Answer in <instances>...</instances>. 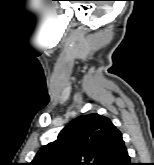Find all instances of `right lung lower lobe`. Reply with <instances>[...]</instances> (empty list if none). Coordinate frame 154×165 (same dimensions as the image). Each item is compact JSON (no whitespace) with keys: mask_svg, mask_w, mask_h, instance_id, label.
<instances>
[{"mask_svg":"<svg viewBox=\"0 0 154 165\" xmlns=\"http://www.w3.org/2000/svg\"><path fill=\"white\" fill-rule=\"evenodd\" d=\"M99 165H132L121 134L112 142L107 155Z\"/></svg>","mask_w":154,"mask_h":165,"instance_id":"right-lung-lower-lobe-1","label":"right lung lower lobe"}]
</instances>
